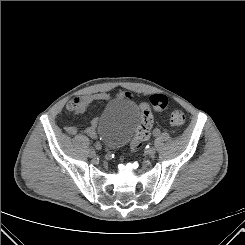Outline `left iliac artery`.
Returning a JSON list of instances; mask_svg holds the SVG:
<instances>
[{
	"mask_svg": "<svg viewBox=\"0 0 245 245\" xmlns=\"http://www.w3.org/2000/svg\"><path fill=\"white\" fill-rule=\"evenodd\" d=\"M154 135L156 136V137H159V136H161L162 135V129L160 128V127H157L155 130H154Z\"/></svg>",
	"mask_w": 245,
	"mask_h": 245,
	"instance_id": "1",
	"label": "left iliac artery"
}]
</instances>
